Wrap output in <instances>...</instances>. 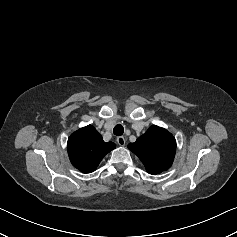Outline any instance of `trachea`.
I'll use <instances>...</instances> for the list:
<instances>
[{"label": "trachea", "mask_w": 237, "mask_h": 237, "mask_svg": "<svg viewBox=\"0 0 237 237\" xmlns=\"http://www.w3.org/2000/svg\"><path fill=\"white\" fill-rule=\"evenodd\" d=\"M113 133L116 135V136H121L123 133H124V128L121 124H118L114 127L113 129Z\"/></svg>", "instance_id": "trachea-1"}]
</instances>
